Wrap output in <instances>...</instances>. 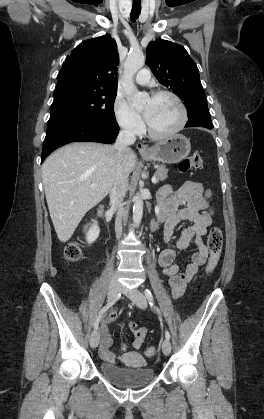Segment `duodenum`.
I'll return each mask as SVG.
<instances>
[{
	"mask_svg": "<svg viewBox=\"0 0 264 419\" xmlns=\"http://www.w3.org/2000/svg\"><path fill=\"white\" fill-rule=\"evenodd\" d=\"M99 214H100V216H102L105 220H107L108 219V217H107V215H106V207H105V205H101L100 207H99ZM162 222V220L160 219V218H158V219H156V220H153L152 221V223H151V227H152V229L153 230H155V229H157L158 227H159V225H160V223Z\"/></svg>",
	"mask_w": 264,
	"mask_h": 419,
	"instance_id": "410a0bca",
	"label": "duodenum"
}]
</instances>
